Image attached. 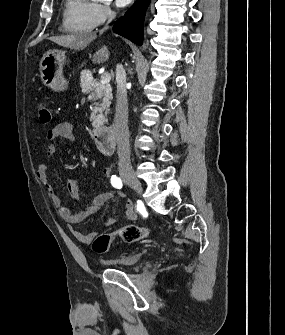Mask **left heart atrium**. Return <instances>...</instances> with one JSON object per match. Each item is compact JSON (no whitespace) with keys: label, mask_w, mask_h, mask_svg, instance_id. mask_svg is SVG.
I'll list each match as a JSON object with an SVG mask.
<instances>
[{"label":"left heart atrium","mask_w":285,"mask_h":335,"mask_svg":"<svg viewBox=\"0 0 285 335\" xmlns=\"http://www.w3.org/2000/svg\"><path fill=\"white\" fill-rule=\"evenodd\" d=\"M131 1H116V4L119 6V7H125L127 6Z\"/></svg>","instance_id":"left-heart-atrium-1"}]
</instances>
